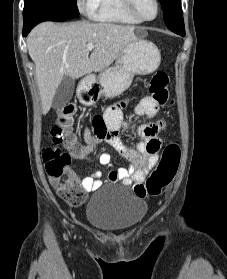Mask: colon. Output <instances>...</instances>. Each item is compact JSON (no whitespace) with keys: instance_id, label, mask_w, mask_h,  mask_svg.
<instances>
[{"instance_id":"colon-1","label":"colon","mask_w":227,"mask_h":279,"mask_svg":"<svg viewBox=\"0 0 227 279\" xmlns=\"http://www.w3.org/2000/svg\"><path fill=\"white\" fill-rule=\"evenodd\" d=\"M168 76L163 71H158L149 79L146 84L148 91L151 93L153 106H166L173 104L170 99L168 90ZM76 108L73 104H67L60 108L56 114V120L51 130L52 146L43 150L42 159L46 167L48 177L55 179V188L59 196L69 204H78L81 199L78 194L79 181L75 174L69 169L71 156L68 152L62 151L59 146L65 144L69 146L73 153L83 155L84 149L80 147L72 134H65L62 126L70 122L75 115ZM93 130L97 134H101L108 130L104 119L100 115H96L92 121ZM111 127L109 130H113ZM143 133L152 134L153 129L143 128ZM157 150L154 143L145 146L147 155L153 154ZM181 151L176 143H169L163 150L160 161L156 168L147 178L144 188L140 185H134L133 191L138 197L159 196L162 191L167 188L176 176L180 164Z\"/></svg>"}]
</instances>
